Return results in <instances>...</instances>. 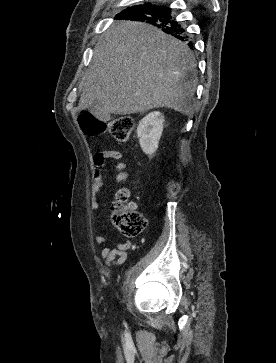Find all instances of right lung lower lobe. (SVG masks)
Here are the masks:
<instances>
[{
    "instance_id": "1",
    "label": "right lung lower lobe",
    "mask_w": 276,
    "mask_h": 363,
    "mask_svg": "<svg viewBox=\"0 0 276 363\" xmlns=\"http://www.w3.org/2000/svg\"><path fill=\"white\" fill-rule=\"evenodd\" d=\"M122 19L145 21L161 28L167 34H171L180 40L188 41L186 30L183 28L181 23L174 20L172 10L168 6H154L144 13L137 14L132 17H124ZM188 45L190 48L193 47L191 42H189Z\"/></svg>"
}]
</instances>
